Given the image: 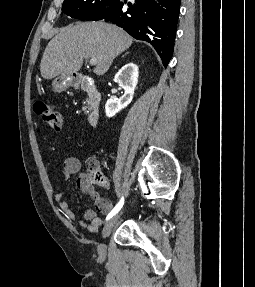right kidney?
Segmentation results:
<instances>
[{
  "mask_svg": "<svg viewBox=\"0 0 255 287\" xmlns=\"http://www.w3.org/2000/svg\"><path fill=\"white\" fill-rule=\"evenodd\" d=\"M114 82L120 84L121 88L125 90L123 96L119 100H107L105 106V112L107 118H112L117 112L126 108L134 96V90L138 82V66L130 62V64H125L119 72H117Z\"/></svg>",
  "mask_w": 255,
  "mask_h": 287,
  "instance_id": "right-kidney-1",
  "label": "right kidney"
}]
</instances>
